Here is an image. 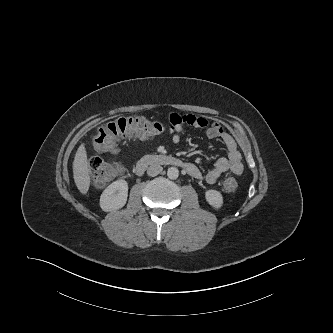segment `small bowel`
<instances>
[{"label": "small bowel", "instance_id": "small-bowel-1", "mask_svg": "<svg viewBox=\"0 0 333 333\" xmlns=\"http://www.w3.org/2000/svg\"><path fill=\"white\" fill-rule=\"evenodd\" d=\"M169 121L172 125L171 134L172 141L178 144L181 140V135L184 131V126H192L196 128H204L206 136L209 139L221 140L227 149V156L220 157L214 167L209 170L205 175V181L208 184H214L218 178L226 171L239 175L243 172V164L241 160V154L237 148V144L234 138L226 132L222 126L217 123L209 124L208 120L203 117H197L194 115H182L178 113H172L169 117ZM189 164L188 173L196 178H201L202 174L200 170L193 163Z\"/></svg>", "mask_w": 333, "mask_h": 333}]
</instances>
